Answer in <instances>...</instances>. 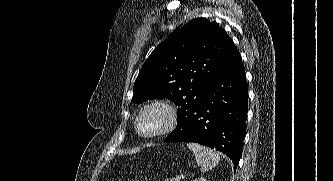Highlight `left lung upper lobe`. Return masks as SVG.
Instances as JSON below:
<instances>
[{
    "label": "left lung upper lobe",
    "mask_w": 333,
    "mask_h": 181,
    "mask_svg": "<svg viewBox=\"0 0 333 181\" xmlns=\"http://www.w3.org/2000/svg\"><path fill=\"white\" fill-rule=\"evenodd\" d=\"M223 28L195 18L158 45L142 66L132 103L166 98L178 117L196 107L208 84L238 56Z\"/></svg>",
    "instance_id": "1"
}]
</instances>
